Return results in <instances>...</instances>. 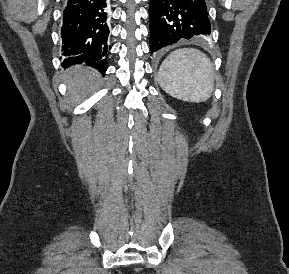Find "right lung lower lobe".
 <instances>
[{
  "mask_svg": "<svg viewBox=\"0 0 289 274\" xmlns=\"http://www.w3.org/2000/svg\"><path fill=\"white\" fill-rule=\"evenodd\" d=\"M109 35L107 0H67L61 29L63 66L85 62L105 73Z\"/></svg>",
  "mask_w": 289,
  "mask_h": 274,
  "instance_id": "98d812e1",
  "label": "right lung lower lobe"
}]
</instances>
